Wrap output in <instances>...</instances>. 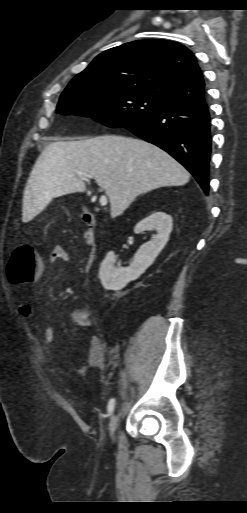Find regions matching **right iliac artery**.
<instances>
[{
	"instance_id": "1",
	"label": "right iliac artery",
	"mask_w": 247,
	"mask_h": 513,
	"mask_svg": "<svg viewBox=\"0 0 247 513\" xmlns=\"http://www.w3.org/2000/svg\"><path fill=\"white\" fill-rule=\"evenodd\" d=\"M114 405H115V399H114V398H112V399L108 402V406H107L108 412H109L110 414L113 412Z\"/></svg>"
}]
</instances>
